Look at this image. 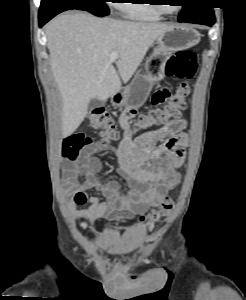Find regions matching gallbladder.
Instances as JSON below:
<instances>
[{
    "label": "gallbladder",
    "mask_w": 246,
    "mask_h": 300,
    "mask_svg": "<svg viewBox=\"0 0 246 300\" xmlns=\"http://www.w3.org/2000/svg\"><path fill=\"white\" fill-rule=\"evenodd\" d=\"M104 104V101L94 98L90 100L88 109L89 111H93L94 109L104 106Z\"/></svg>",
    "instance_id": "bac80fb5"
}]
</instances>
